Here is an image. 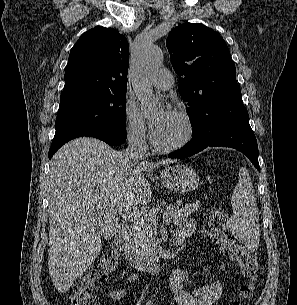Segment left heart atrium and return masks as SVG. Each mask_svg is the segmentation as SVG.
Returning <instances> with one entry per match:
<instances>
[{
    "label": "left heart atrium",
    "mask_w": 297,
    "mask_h": 305,
    "mask_svg": "<svg viewBox=\"0 0 297 305\" xmlns=\"http://www.w3.org/2000/svg\"><path fill=\"white\" fill-rule=\"evenodd\" d=\"M170 114H171V112L168 109H162L150 121V127H151L153 135H154V133L158 132L163 127V125L168 120Z\"/></svg>",
    "instance_id": "left-heart-atrium-1"
}]
</instances>
